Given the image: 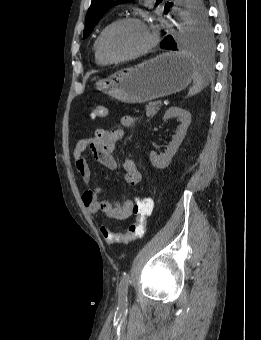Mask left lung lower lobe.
Here are the masks:
<instances>
[{"instance_id":"obj_1","label":"left lung lower lobe","mask_w":261,"mask_h":340,"mask_svg":"<svg viewBox=\"0 0 261 340\" xmlns=\"http://www.w3.org/2000/svg\"><path fill=\"white\" fill-rule=\"evenodd\" d=\"M183 3H185V0H183ZM161 48L163 49H168V50H177V43L175 42L174 38L172 36H167L160 45Z\"/></svg>"}]
</instances>
